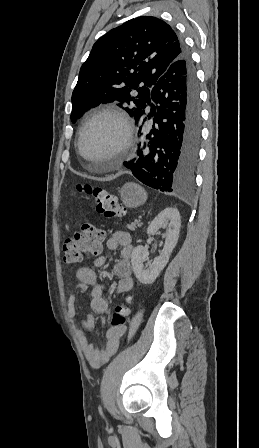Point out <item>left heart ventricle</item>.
Listing matches in <instances>:
<instances>
[{
	"instance_id": "1",
	"label": "left heart ventricle",
	"mask_w": 259,
	"mask_h": 448,
	"mask_svg": "<svg viewBox=\"0 0 259 448\" xmlns=\"http://www.w3.org/2000/svg\"><path fill=\"white\" fill-rule=\"evenodd\" d=\"M121 135V125L113 117H101L90 123L81 139V159L86 162H106L111 148Z\"/></svg>"
}]
</instances>
